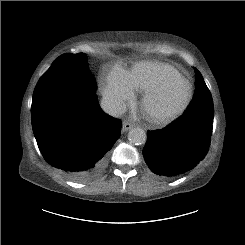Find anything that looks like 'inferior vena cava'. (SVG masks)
<instances>
[{
    "mask_svg": "<svg viewBox=\"0 0 245 245\" xmlns=\"http://www.w3.org/2000/svg\"><path fill=\"white\" fill-rule=\"evenodd\" d=\"M100 105L105 113L114 117L122 115L126 111L125 103L122 100L113 97L102 98Z\"/></svg>",
    "mask_w": 245,
    "mask_h": 245,
    "instance_id": "1",
    "label": "inferior vena cava"
}]
</instances>
